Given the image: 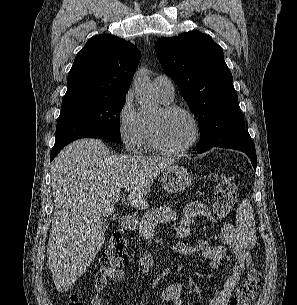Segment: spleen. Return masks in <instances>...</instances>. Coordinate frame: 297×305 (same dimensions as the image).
<instances>
[{"label":"spleen","instance_id":"1","mask_svg":"<svg viewBox=\"0 0 297 305\" xmlns=\"http://www.w3.org/2000/svg\"><path fill=\"white\" fill-rule=\"evenodd\" d=\"M237 232L242 238L252 242L256 239L255 219L250 201L246 198L238 206L236 211Z\"/></svg>","mask_w":297,"mask_h":305}]
</instances>
